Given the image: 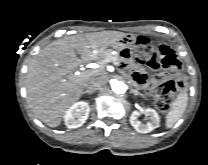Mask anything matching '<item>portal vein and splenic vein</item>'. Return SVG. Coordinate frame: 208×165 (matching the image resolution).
Returning a JSON list of instances; mask_svg holds the SVG:
<instances>
[{
	"label": "portal vein and splenic vein",
	"instance_id": "obj_1",
	"mask_svg": "<svg viewBox=\"0 0 208 165\" xmlns=\"http://www.w3.org/2000/svg\"><path fill=\"white\" fill-rule=\"evenodd\" d=\"M96 73H98V70H87V71H84L82 74L85 77H91Z\"/></svg>",
	"mask_w": 208,
	"mask_h": 165
}]
</instances>
